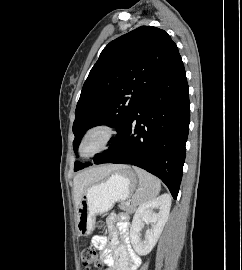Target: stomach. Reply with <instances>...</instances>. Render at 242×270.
<instances>
[{"label": "stomach", "instance_id": "1", "mask_svg": "<svg viewBox=\"0 0 242 270\" xmlns=\"http://www.w3.org/2000/svg\"><path fill=\"white\" fill-rule=\"evenodd\" d=\"M137 185L136 174L127 166L111 172L104 180L85 190L76 211V230L80 236H88L94 230L98 214L109 211L117 201L129 198Z\"/></svg>", "mask_w": 242, "mask_h": 270}]
</instances>
